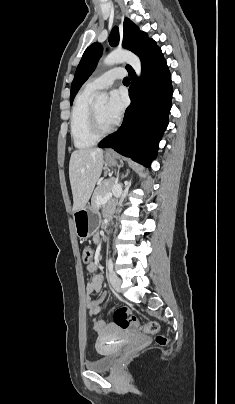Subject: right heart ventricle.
I'll return each mask as SVG.
<instances>
[{
  "mask_svg": "<svg viewBox=\"0 0 235 404\" xmlns=\"http://www.w3.org/2000/svg\"><path fill=\"white\" fill-rule=\"evenodd\" d=\"M93 92L81 91L75 98L70 119V134L74 146L86 149L94 146L96 139L90 131V98Z\"/></svg>",
  "mask_w": 235,
  "mask_h": 404,
  "instance_id": "1",
  "label": "right heart ventricle"
}]
</instances>
